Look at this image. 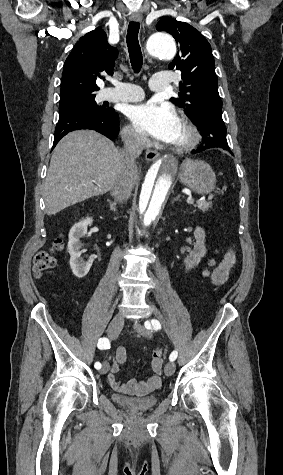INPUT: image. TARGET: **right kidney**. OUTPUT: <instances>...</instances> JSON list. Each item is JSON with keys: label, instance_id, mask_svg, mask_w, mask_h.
Here are the masks:
<instances>
[{"label": "right kidney", "instance_id": "ca27d5eb", "mask_svg": "<svg viewBox=\"0 0 283 475\" xmlns=\"http://www.w3.org/2000/svg\"><path fill=\"white\" fill-rule=\"evenodd\" d=\"M92 218H86V220H82V222H78V224H74L69 232V241H68V251L71 255L70 257V267L76 275V277H84L86 273H88L93 261L94 257H89L87 261H84L83 257H81V247L82 243H80V238L87 234V226L92 224Z\"/></svg>", "mask_w": 283, "mask_h": 475}]
</instances>
